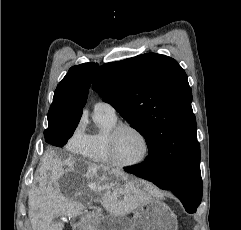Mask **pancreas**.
I'll list each match as a JSON object with an SVG mask.
<instances>
[{
    "instance_id": "obj_1",
    "label": "pancreas",
    "mask_w": 241,
    "mask_h": 230,
    "mask_svg": "<svg viewBox=\"0 0 241 230\" xmlns=\"http://www.w3.org/2000/svg\"><path fill=\"white\" fill-rule=\"evenodd\" d=\"M100 221H101V218L97 215L93 216L92 219L90 220L92 224L99 223Z\"/></svg>"
}]
</instances>
